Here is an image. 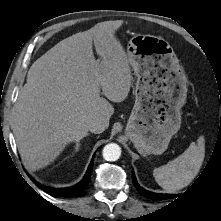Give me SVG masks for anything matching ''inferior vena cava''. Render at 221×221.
I'll return each mask as SVG.
<instances>
[{
	"label": "inferior vena cava",
	"instance_id": "obj_1",
	"mask_svg": "<svg viewBox=\"0 0 221 221\" xmlns=\"http://www.w3.org/2000/svg\"><path fill=\"white\" fill-rule=\"evenodd\" d=\"M106 129V125L101 120H94L89 124V131L95 134L102 133Z\"/></svg>",
	"mask_w": 221,
	"mask_h": 221
}]
</instances>
